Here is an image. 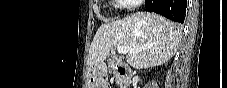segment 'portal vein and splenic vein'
Instances as JSON below:
<instances>
[{"mask_svg": "<svg viewBox=\"0 0 227 88\" xmlns=\"http://www.w3.org/2000/svg\"><path fill=\"white\" fill-rule=\"evenodd\" d=\"M117 52L120 54H127L130 50L124 46H117Z\"/></svg>", "mask_w": 227, "mask_h": 88, "instance_id": "18ae733b", "label": "portal vein and splenic vein"}]
</instances>
